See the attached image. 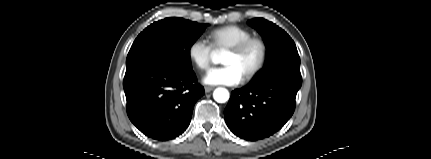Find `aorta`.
Instances as JSON below:
<instances>
[{
  "mask_svg": "<svg viewBox=\"0 0 431 159\" xmlns=\"http://www.w3.org/2000/svg\"><path fill=\"white\" fill-rule=\"evenodd\" d=\"M212 61H213V63H219L220 57L218 55H214L212 57ZM213 97H214L216 102L225 103L229 99V92L225 88H217V89H215V91L213 93Z\"/></svg>",
  "mask_w": 431,
  "mask_h": 159,
  "instance_id": "aorta-1",
  "label": "aorta"
}]
</instances>
